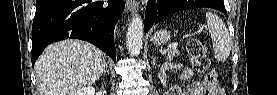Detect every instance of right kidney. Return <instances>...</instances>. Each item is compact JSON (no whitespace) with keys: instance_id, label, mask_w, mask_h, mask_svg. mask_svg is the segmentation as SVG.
<instances>
[{"instance_id":"1","label":"right kidney","mask_w":277,"mask_h":95,"mask_svg":"<svg viewBox=\"0 0 277 95\" xmlns=\"http://www.w3.org/2000/svg\"><path fill=\"white\" fill-rule=\"evenodd\" d=\"M94 94H95V89L92 86L84 87L75 93V95H94Z\"/></svg>"}]
</instances>
